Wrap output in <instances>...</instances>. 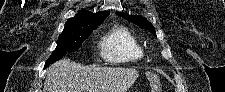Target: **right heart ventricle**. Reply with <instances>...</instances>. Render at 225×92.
Instances as JSON below:
<instances>
[{
  "label": "right heart ventricle",
  "instance_id": "right-heart-ventricle-1",
  "mask_svg": "<svg viewBox=\"0 0 225 92\" xmlns=\"http://www.w3.org/2000/svg\"><path fill=\"white\" fill-rule=\"evenodd\" d=\"M100 53L110 63H135L145 56L139 39L125 27H116L103 37Z\"/></svg>",
  "mask_w": 225,
  "mask_h": 92
}]
</instances>
